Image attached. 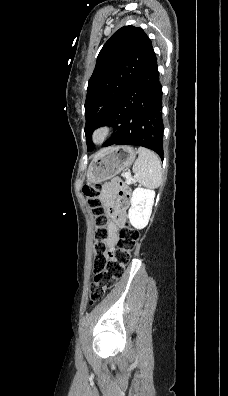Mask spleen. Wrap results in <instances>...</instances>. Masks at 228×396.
Wrapping results in <instances>:
<instances>
[{
    "instance_id": "3e777b00",
    "label": "spleen",
    "mask_w": 228,
    "mask_h": 396,
    "mask_svg": "<svg viewBox=\"0 0 228 396\" xmlns=\"http://www.w3.org/2000/svg\"><path fill=\"white\" fill-rule=\"evenodd\" d=\"M135 181L147 188H157L162 182V167L159 157L151 150L139 147L138 158L133 165Z\"/></svg>"
}]
</instances>
